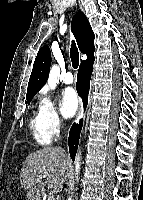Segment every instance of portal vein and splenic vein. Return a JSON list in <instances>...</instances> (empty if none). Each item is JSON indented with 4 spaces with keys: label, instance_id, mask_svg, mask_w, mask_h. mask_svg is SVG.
Returning a JSON list of instances; mask_svg holds the SVG:
<instances>
[{
    "label": "portal vein and splenic vein",
    "instance_id": "portal-vein-and-splenic-vein-1",
    "mask_svg": "<svg viewBox=\"0 0 143 200\" xmlns=\"http://www.w3.org/2000/svg\"><path fill=\"white\" fill-rule=\"evenodd\" d=\"M47 171H44L43 177L45 178L47 176ZM47 200H55L53 196H48Z\"/></svg>",
    "mask_w": 143,
    "mask_h": 200
}]
</instances>
